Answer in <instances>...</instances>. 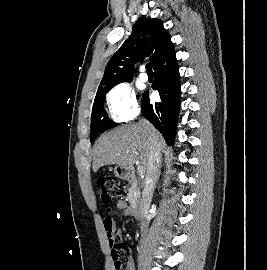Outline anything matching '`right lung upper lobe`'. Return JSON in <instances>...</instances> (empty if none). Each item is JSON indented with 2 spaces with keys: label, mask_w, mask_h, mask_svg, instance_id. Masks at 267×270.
Wrapping results in <instances>:
<instances>
[{
  "label": "right lung upper lobe",
  "mask_w": 267,
  "mask_h": 270,
  "mask_svg": "<svg viewBox=\"0 0 267 270\" xmlns=\"http://www.w3.org/2000/svg\"><path fill=\"white\" fill-rule=\"evenodd\" d=\"M172 46L170 36L160 19H140L130 37L109 60L97 92L112 88L121 82L132 81L134 63L145 57H150L155 67Z\"/></svg>",
  "instance_id": "right-lung-upper-lobe-1"
}]
</instances>
